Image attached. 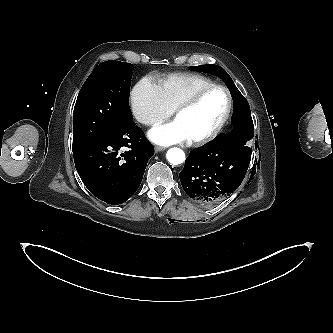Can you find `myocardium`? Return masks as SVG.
Masks as SVG:
<instances>
[{"label":"myocardium","instance_id":"f54148a6","mask_svg":"<svg viewBox=\"0 0 333 333\" xmlns=\"http://www.w3.org/2000/svg\"><path fill=\"white\" fill-rule=\"evenodd\" d=\"M215 89H221L226 93V96H227L226 112H225L223 118L221 119V121L212 131H210L206 135L201 136L199 138L189 140V143L193 146L205 145V144L213 141L215 138H217L219 136V134L223 131V129L225 128V126L227 125V123L231 117L232 110H233V96L231 94V91L225 85L213 83L211 85L205 86V87L199 89L198 91H196L193 95H191L185 101L180 103L174 110V118L176 119L178 117V115H180L182 112L197 105L207 93H209L210 91L215 90Z\"/></svg>","mask_w":333,"mask_h":333}]
</instances>
